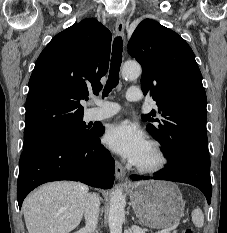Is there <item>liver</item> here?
<instances>
[{
  "label": "liver",
  "instance_id": "obj_1",
  "mask_svg": "<svg viewBox=\"0 0 227 233\" xmlns=\"http://www.w3.org/2000/svg\"><path fill=\"white\" fill-rule=\"evenodd\" d=\"M88 187L68 181L50 182L23 202L28 233H70L80 224Z\"/></svg>",
  "mask_w": 227,
  "mask_h": 233
}]
</instances>
